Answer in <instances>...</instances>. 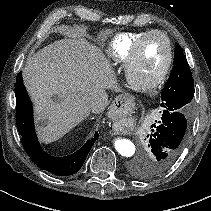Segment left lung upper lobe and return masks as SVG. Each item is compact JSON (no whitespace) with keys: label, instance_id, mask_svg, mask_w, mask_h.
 I'll list each match as a JSON object with an SVG mask.
<instances>
[{"label":"left lung upper lobe","instance_id":"5c2ea615","mask_svg":"<svg viewBox=\"0 0 211 211\" xmlns=\"http://www.w3.org/2000/svg\"><path fill=\"white\" fill-rule=\"evenodd\" d=\"M174 66L168 81L161 93V107L164 111L188 112L191 100L194 96V81L186 57L180 45L174 51ZM146 154V161L150 164L152 160ZM152 166V164H151ZM152 174V169H149Z\"/></svg>","mask_w":211,"mask_h":211}]
</instances>
